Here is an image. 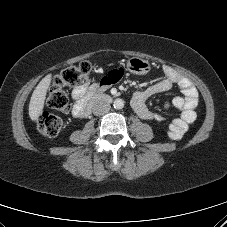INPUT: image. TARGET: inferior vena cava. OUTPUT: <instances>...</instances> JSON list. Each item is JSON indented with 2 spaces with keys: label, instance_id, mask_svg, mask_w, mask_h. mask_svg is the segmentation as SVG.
<instances>
[{
  "label": "inferior vena cava",
  "instance_id": "602c4592",
  "mask_svg": "<svg viewBox=\"0 0 227 227\" xmlns=\"http://www.w3.org/2000/svg\"><path fill=\"white\" fill-rule=\"evenodd\" d=\"M111 106L106 102L99 101L94 104L92 110L93 114L96 116L104 115L109 112Z\"/></svg>",
  "mask_w": 227,
  "mask_h": 227
}]
</instances>
